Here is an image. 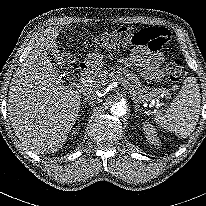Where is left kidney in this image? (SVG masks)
<instances>
[{"label":"left kidney","instance_id":"left-kidney-1","mask_svg":"<svg viewBox=\"0 0 206 206\" xmlns=\"http://www.w3.org/2000/svg\"><path fill=\"white\" fill-rule=\"evenodd\" d=\"M142 128L144 130L145 137L149 143H151L153 145L160 144L159 137L157 136L156 129L154 128L153 125L145 122V123H143Z\"/></svg>","mask_w":206,"mask_h":206}]
</instances>
